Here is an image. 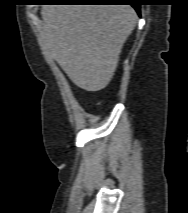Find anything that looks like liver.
<instances>
[{
    "label": "liver",
    "instance_id": "obj_1",
    "mask_svg": "<svg viewBox=\"0 0 188 213\" xmlns=\"http://www.w3.org/2000/svg\"><path fill=\"white\" fill-rule=\"evenodd\" d=\"M46 49L81 89H104L117 67L121 49L136 26L130 5H44Z\"/></svg>",
    "mask_w": 188,
    "mask_h": 213
}]
</instances>
